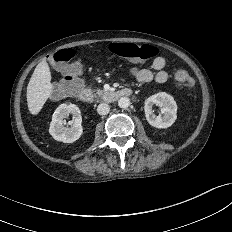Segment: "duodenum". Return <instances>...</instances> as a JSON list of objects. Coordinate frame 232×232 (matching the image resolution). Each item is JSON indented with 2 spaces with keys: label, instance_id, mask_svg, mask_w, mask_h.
<instances>
[{
  "label": "duodenum",
  "instance_id": "obj_1",
  "mask_svg": "<svg viewBox=\"0 0 232 232\" xmlns=\"http://www.w3.org/2000/svg\"><path fill=\"white\" fill-rule=\"evenodd\" d=\"M132 94V90L129 88H124L121 90H117V91H108L105 92L102 96L101 99L102 101L106 102V103H111L114 101H117L118 99L122 98V97H128ZM78 99L84 103H91L94 99L93 94L85 88H81L78 91Z\"/></svg>",
  "mask_w": 232,
  "mask_h": 232
}]
</instances>
